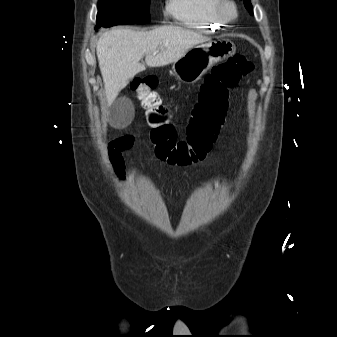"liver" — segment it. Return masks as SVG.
<instances>
[{
	"mask_svg": "<svg viewBox=\"0 0 337 337\" xmlns=\"http://www.w3.org/2000/svg\"><path fill=\"white\" fill-rule=\"evenodd\" d=\"M196 32L176 26L151 31L117 28L105 31L96 46L97 58L109 104L129 80L149 67H161L179 60L193 46L208 41ZM155 54V55H154Z\"/></svg>",
	"mask_w": 337,
	"mask_h": 337,
	"instance_id": "obj_1",
	"label": "liver"
}]
</instances>
